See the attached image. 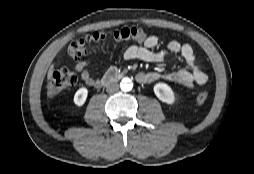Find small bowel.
Instances as JSON below:
<instances>
[{
  "mask_svg": "<svg viewBox=\"0 0 254 174\" xmlns=\"http://www.w3.org/2000/svg\"><path fill=\"white\" fill-rule=\"evenodd\" d=\"M158 38L149 36L141 45L129 46L123 54L125 60H142L151 63L162 62L167 59L169 53L179 54L186 65V68L173 71L167 74L158 72H140L137 74V80L140 83L152 84L159 79L180 84L184 87L194 88L204 85L207 80V74L202 70L197 61L193 48L187 43L170 41L167 50H157ZM75 70L81 73L82 81L91 87H99L100 82L92 76L87 61H80L75 65Z\"/></svg>",
  "mask_w": 254,
  "mask_h": 174,
  "instance_id": "c3829d8e",
  "label": "small bowel"
}]
</instances>
